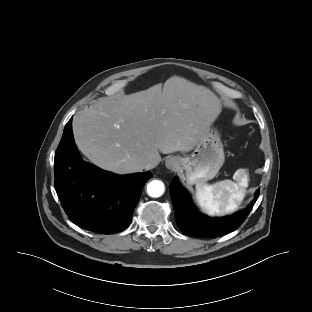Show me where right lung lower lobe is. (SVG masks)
Returning a JSON list of instances; mask_svg holds the SVG:
<instances>
[{
    "label": "right lung lower lobe",
    "mask_w": 312,
    "mask_h": 312,
    "mask_svg": "<svg viewBox=\"0 0 312 312\" xmlns=\"http://www.w3.org/2000/svg\"><path fill=\"white\" fill-rule=\"evenodd\" d=\"M55 189L69 219L102 234L127 228L150 171L116 175L85 163L72 133V118L64 128L54 159Z\"/></svg>",
    "instance_id": "98d812e1"
}]
</instances>
